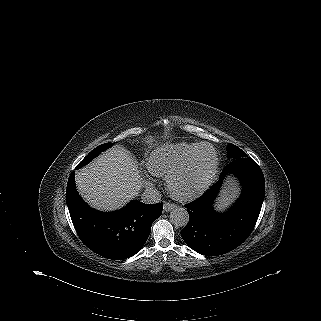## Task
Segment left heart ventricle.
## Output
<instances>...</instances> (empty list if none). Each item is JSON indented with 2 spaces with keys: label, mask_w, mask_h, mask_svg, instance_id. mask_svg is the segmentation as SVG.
Listing matches in <instances>:
<instances>
[{
  "label": "left heart ventricle",
  "mask_w": 321,
  "mask_h": 321,
  "mask_svg": "<svg viewBox=\"0 0 321 321\" xmlns=\"http://www.w3.org/2000/svg\"><path fill=\"white\" fill-rule=\"evenodd\" d=\"M214 161L211 148L205 147L199 150L190 170L175 179L174 189L182 194L198 189L210 175Z\"/></svg>",
  "instance_id": "left-heart-ventricle-1"
}]
</instances>
